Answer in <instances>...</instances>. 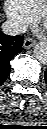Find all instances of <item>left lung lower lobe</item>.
I'll return each mask as SVG.
<instances>
[{
  "mask_svg": "<svg viewBox=\"0 0 47 129\" xmlns=\"http://www.w3.org/2000/svg\"><path fill=\"white\" fill-rule=\"evenodd\" d=\"M45 80H46V83H47V71H45Z\"/></svg>",
  "mask_w": 47,
  "mask_h": 129,
  "instance_id": "0a47b994",
  "label": "left lung lower lobe"
}]
</instances>
